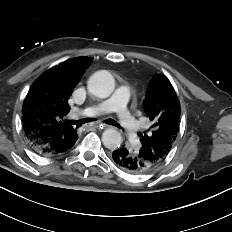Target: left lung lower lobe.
Instances as JSON below:
<instances>
[{
    "label": "left lung lower lobe",
    "instance_id": "left-lung-lower-lobe-1",
    "mask_svg": "<svg viewBox=\"0 0 232 232\" xmlns=\"http://www.w3.org/2000/svg\"><path fill=\"white\" fill-rule=\"evenodd\" d=\"M112 160L117 167L131 174L150 172L156 166L146 160L142 154L127 148H119L112 153Z\"/></svg>",
    "mask_w": 232,
    "mask_h": 232
}]
</instances>
